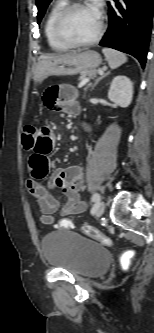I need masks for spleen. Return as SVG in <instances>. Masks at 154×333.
Returning <instances> with one entry per match:
<instances>
[{"mask_svg":"<svg viewBox=\"0 0 154 333\" xmlns=\"http://www.w3.org/2000/svg\"><path fill=\"white\" fill-rule=\"evenodd\" d=\"M102 52L111 69H116L127 62V56L122 52L110 48H103Z\"/></svg>","mask_w":154,"mask_h":333,"instance_id":"obj_1","label":"spleen"}]
</instances>
